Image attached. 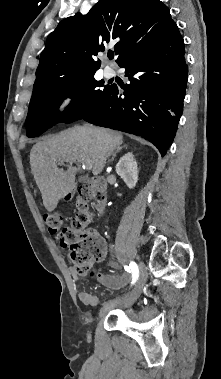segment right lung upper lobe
Masks as SVG:
<instances>
[{"label": "right lung upper lobe", "instance_id": "cb5924a9", "mask_svg": "<svg viewBox=\"0 0 221 379\" xmlns=\"http://www.w3.org/2000/svg\"><path fill=\"white\" fill-rule=\"evenodd\" d=\"M174 24L160 0H100L87 15L62 20L48 36L32 96L56 81L95 73L100 67L96 55L109 42L118 40L119 63Z\"/></svg>", "mask_w": 221, "mask_h": 379}]
</instances>
